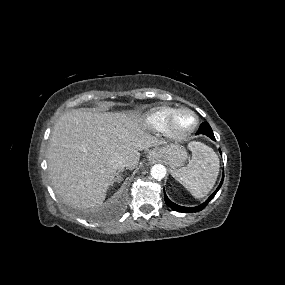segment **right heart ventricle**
<instances>
[{
  "mask_svg": "<svg viewBox=\"0 0 285 285\" xmlns=\"http://www.w3.org/2000/svg\"><path fill=\"white\" fill-rule=\"evenodd\" d=\"M175 110L168 106L154 108L141 117L142 124L152 129L166 127L168 120Z\"/></svg>",
  "mask_w": 285,
  "mask_h": 285,
  "instance_id": "obj_1",
  "label": "right heart ventricle"
}]
</instances>
